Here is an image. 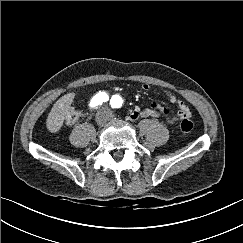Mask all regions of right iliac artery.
Listing matches in <instances>:
<instances>
[{
    "mask_svg": "<svg viewBox=\"0 0 243 243\" xmlns=\"http://www.w3.org/2000/svg\"><path fill=\"white\" fill-rule=\"evenodd\" d=\"M109 100V96L106 92L97 93L90 101L91 108H97L98 105H101L103 102Z\"/></svg>",
    "mask_w": 243,
    "mask_h": 243,
    "instance_id": "obj_1",
    "label": "right iliac artery"
}]
</instances>
